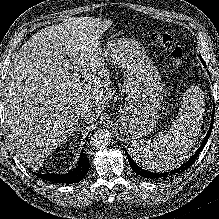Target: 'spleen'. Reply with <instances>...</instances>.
<instances>
[{
    "instance_id": "1",
    "label": "spleen",
    "mask_w": 219,
    "mask_h": 219,
    "mask_svg": "<svg viewBox=\"0 0 219 219\" xmlns=\"http://www.w3.org/2000/svg\"><path fill=\"white\" fill-rule=\"evenodd\" d=\"M202 103L198 91L190 88L169 131L159 133L152 141H131L132 155L138 164L157 172L178 166L199 135Z\"/></svg>"
}]
</instances>
